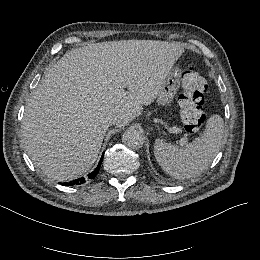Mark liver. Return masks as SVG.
Masks as SVG:
<instances>
[{
    "label": "liver",
    "instance_id": "1",
    "mask_svg": "<svg viewBox=\"0 0 260 260\" xmlns=\"http://www.w3.org/2000/svg\"><path fill=\"white\" fill-rule=\"evenodd\" d=\"M183 51L178 43L156 40L91 43L68 51L25 107L21 134L34 165L58 181L88 171L108 117L124 127L141 115Z\"/></svg>",
    "mask_w": 260,
    "mask_h": 260
}]
</instances>
